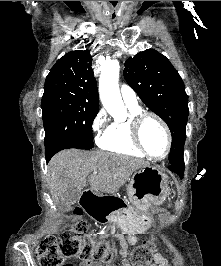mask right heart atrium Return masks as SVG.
Here are the masks:
<instances>
[{"instance_id": "1", "label": "right heart atrium", "mask_w": 221, "mask_h": 266, "mask_svg": "<svg viewBox=\"0 0 221 266\" xmlns=\"http://www.w3.org/2000/svg\"><path fill=\"white\" fill-rule=\"evenodd\" d=\"M107 113L104 109H100L92 121V130L99 136L100 132L106 128Z\"/></svg>"}]
</instances>
